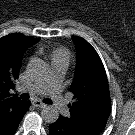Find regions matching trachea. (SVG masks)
Instances as JSON below:
<instances>
[{
  "label": "trachea",
  "instance_id": "obj_1",
  "mask_svg": "<svg viewBox=\"0 0 135 135\" xmlns=\"http://www.w3.org/2000/svg\"><path fill=\"white\" fill-rule=\"evenodd\" d=\"M29 97H30L29 94H26V93H23V94L20 95V98L22 100H28ZM43 102L46 103V104H52V100L48 99V98L44 99Z\"/></svg>",
  "mask_w": 135,
  "mask_h": 135
}]
</instances>
